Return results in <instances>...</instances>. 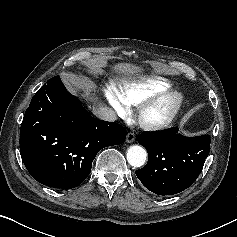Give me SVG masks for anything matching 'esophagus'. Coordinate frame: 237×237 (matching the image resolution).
Masks as SVG:
<instances>
[{
    "label": "esophagus",
    "instance_id": "esophagus-1",
    "mask_svg": "<svg viewBox=\"0 0 237 237\" xmlns=\"http://www.w3.org/2000/svg\"><path fill=\"white\" fill-rule=\"evenodd\" d=\"M135 138H136V136H135L134 133H128L127 137H126V142L127 143H132V142L135 141Z\"/></svg>",
    "mask_w": 237,
    "mask_h": 237
}]
</instances>
